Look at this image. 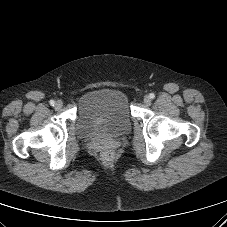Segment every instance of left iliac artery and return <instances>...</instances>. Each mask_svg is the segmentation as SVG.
I'll use <instances>...</instances> for the list:
<instances>
[{
	"label": "left iliac artery",
	"instance_id": "obj_1",
	"mask_svg": "<svg viewBox=\"0 0 227 227\" xmlns=\"http://www.w3.org/2000/svg\"><path fill=\"white\" fill-rule=\"evenodd\" d=\"M149 97H150L151 99H154V98H155L154 93H150V94H149Z\"/></svg>",
	"mask_w": 227,
	"mask_h": 227
}]
</instances>
